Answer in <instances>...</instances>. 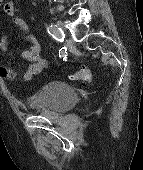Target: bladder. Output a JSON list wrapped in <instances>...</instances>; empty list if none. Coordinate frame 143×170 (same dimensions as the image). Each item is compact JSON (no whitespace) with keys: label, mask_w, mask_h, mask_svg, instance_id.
<instances>
[{"label":"bladder","mask_w":143,"mask_h":170,"mask_svg":"<svg viewBox=\"0 0 143 170\" xmlns=\"http://www.w3.org/2000/svg\"><path fill=\"white\" fill-rule=\"evenodd\" d=\"M78 100L76 90L68 84L52 81L45 83L33 99V109L40 114H64Z\"/></svg>","instance_id":"1"}]
</instances>
